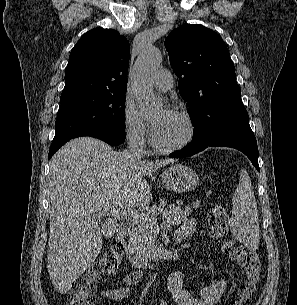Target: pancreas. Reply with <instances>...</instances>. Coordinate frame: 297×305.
Listing matches in <instances>:
<instances>
[{"instance_id": "cf45deb5", "label": "pancreas", "mask_w": 297, "mask_h": 305, "mask_svg": "<svg viewBox=\"0 0 297 305\" xmlns=\"http://www.w3.org/2000/svg\"><path fill=\"white\" fill-rule=\"evenodd\" d=\"M193 208H196V206L188 205L183 209L180 205L170 204L167 209L162 211V214L167 218L169 224L180 225L187 221ZM158 210L161 211L162 208L153 206L144 213L145 216L132 223L131 238L133 246L145 259L156 258L155 236L158 234Z\"/></svg>"}]
</instances>
